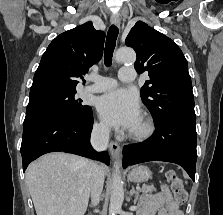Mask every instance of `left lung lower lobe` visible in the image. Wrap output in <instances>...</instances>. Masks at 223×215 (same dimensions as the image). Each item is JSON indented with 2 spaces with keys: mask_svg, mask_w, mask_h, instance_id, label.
I'll use <instances>...</instances> for the list:
<instances>
[{
  "mask_svg": "<svg viewBox=\"0 0 223 215\" xmlns=\"http://www.w3.org/2000/svg\"><path fill=\"white\" fill-rule=\"evenodd\" d=\"M196 122L167 120L155 123L153 135L142 143L123 147V167L147 161H167L182 166L195 180Z\"/></svg>",
  "mask_w": 223,
  "mask_h": 215,
  "instance_id": "0a47b994",
  "label": "left lung lower lobe"
}]
</instances>
